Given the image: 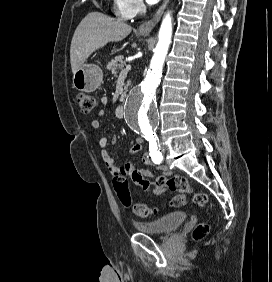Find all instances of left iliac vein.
Listing matches in <instances>:
<instances>
[{"label":"left iliac vein","instance_id":"left-iliac-vein-1","mask_svg":"<svg viewBox=\"0 0 272 282\" xmlns=\"http://www.w3.org/2000/svg\"><path fill=\"white\" fill-rule=\"evenodd\" d=\"M160 150H161V152H162L163 154H164L165 151H166V146H165V144H164L163 141H161V143H160Z\"/></svg>","mask_w":272,"mask_h":282}]
</instances>
